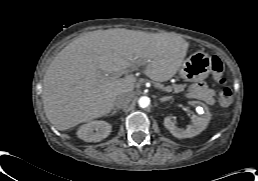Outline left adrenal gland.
<instances>
[{
  "label": "left adrenal gland",
  "mask_w": 258,
  "mask_h": 181,
  "mask_svg": "<svg viewBox=\"0 0 258 181\" xmlns=\"http://www.w3.org/2000/svg\"><path fill=\"white\" fill-rule=\"evenodd\" d=\"M171 98H172L171 96H168V97H162L159 100H160V102H165V101L170 100Z\"/></svg>",
  "instance_id": "left-adrenal-gland-1"
}]
</instances>
